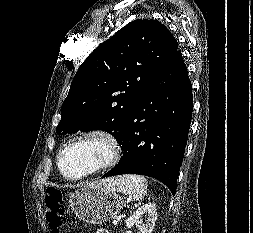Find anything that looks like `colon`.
<instances>
[{
	"mask_svg": "<svg viewBox=\"0 0 253 233\" xmlns=\"http://www.w3.org/2000/svg\"><path fill=\"white\" fill-rule=\"evenodd\" d=\"M46 220L52 233H60L64 226L65 204L63 193L56 188H49L44 197Z\"/></svg>",
	"mask_w": 253,
	"mask_h": 233,
	"instance_id": "colon-1",
	"label": "colon"
}]
</instances>
